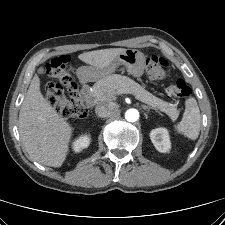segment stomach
Wrapping results in <instances>:
<instances>
[{
	"mask_svg": "<svg viewBox=\"0 0 225 225\" xmlns=\"http://www.w3.org/2000/svg\"><path fill=\"white\" fill-rule=\"evenodd\" d=\"M119 66H124L130 75L139 78L144 74L146 58L139 50L126 49L120 53L108 67L104 69L84 67L82 70L85 71L88 79L95 80L113 73Z\"/></svg>",
	"mask_w": 225,
	"mask_h": 225,
	"instance_id": "stomach-1",
	"label": "stomach"
}]
</instances>
